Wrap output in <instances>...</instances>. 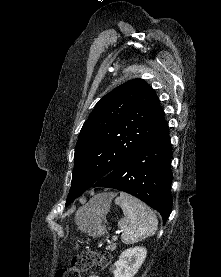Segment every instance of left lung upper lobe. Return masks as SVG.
<instances>
[{
    "label": "left lung upper lobe",
    "mask_w": 221,
    "mask_h": 277,
    "mask_svg": "<svg viewBox=\"0 0 221 277\" xmlns=\"http://www.w3.org/2000/svg\"><path fill=\"white\" fill-rule=\"evenodd\" d=\"M165 123L159 99L143 79L125 82L102 97L79 134L65 205L108 175Z\"/></svg>",
    "instance_id": "left-lung-upper-lobe-1"
}]
</instances>
